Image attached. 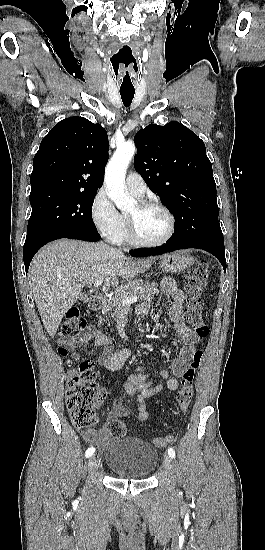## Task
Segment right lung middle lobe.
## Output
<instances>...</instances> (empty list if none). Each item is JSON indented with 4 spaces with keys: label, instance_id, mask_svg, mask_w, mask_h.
Wrapping results in <instances>:
<instances>
[{
    "label": "right lung middle lobe",
    "instance_id": "dd1d6c3e",
    "mask_svg": "<svg viewBox=\"0 0 265 550\" xmlns=\"http://www.w3.org/2000/svg\"><path fill=\"white\" fill-rule=\"evenodd\" d=\"M95 195L52 189L32 191L24 250L62 231L98 233L91 218Z\"/></svg>",
    "mask_w": 265,
    "mask_h": 550
}]
</instances>
